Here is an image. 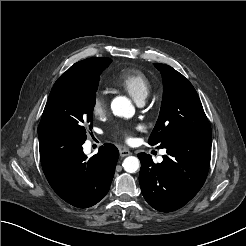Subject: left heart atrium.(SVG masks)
Here are the masks:
<instances>
[{"instance_id": "left-heart-atrium-1", "label": "left heart atrium", "mask_w": 246, "mask_h": 246, "mask_svg": "<svg viewBox=\"0 0 246 246\" xmlns=\"http://www.w3.org/2000/svg\"><path fill=\"white\" fill-rule=\"evenodd\" d=\"M124 137H125V140H126L128 143H131V142L134 140L132 134L129 133V132H126V133L124 134Z\"/></svg>"}]
</instances>
